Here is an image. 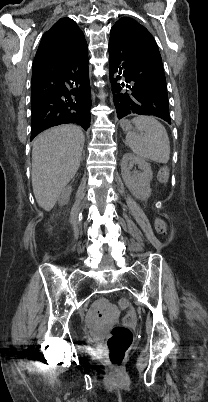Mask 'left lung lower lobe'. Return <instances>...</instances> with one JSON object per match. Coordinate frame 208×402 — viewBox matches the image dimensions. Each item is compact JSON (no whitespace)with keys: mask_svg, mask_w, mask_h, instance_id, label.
<instances>
[{"mask_svg":"<svg viewBox=\"0 0 208 402\" xmlns=\"http://www.w3.org/2000/svg\"><path fill=\"white\" fill-rule=\"evenodd\" d=\"M140 39L116 26L110 32V82L118 119L130 114L153 115L171 124L167 88L136 70Z\"/></svg>","mask_w":208,"mask_h":402,"instance_id":"left-lung-lower-lobe-1","label":"left lung lower lobe"}]
</instances>
